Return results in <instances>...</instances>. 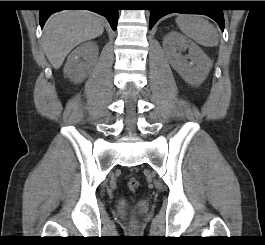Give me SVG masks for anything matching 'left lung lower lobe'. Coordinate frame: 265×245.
Instances as JSON below:
<instances>
[{"instance_id":"obj_1","label":"left lung lower lobe","mask_w":265,"mask_h":245,"mask_svg":"<svg viewBox=\"0 0 265 245\" xmlns=\"http://www.w3.org/2000/svg\"><path fill=\"white\" fill-rule=\"evenodd\" d=\"M157 3L162 7L151 10L149 29H152V27L161 17L175 12L207 15L219 24L222 31L224 30V16L222 9L217 7L205 9L193 8V6L197 3L215 5L217 4L216 1H157Z\"/></svg>"}]
</instances>
